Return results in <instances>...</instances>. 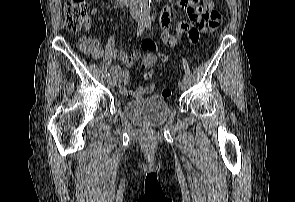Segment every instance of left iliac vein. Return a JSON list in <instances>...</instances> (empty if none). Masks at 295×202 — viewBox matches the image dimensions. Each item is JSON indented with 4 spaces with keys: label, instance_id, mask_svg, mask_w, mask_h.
<instances>
[{
    "label": "left iliac vein",
    "instance_id": "4c4485c4",
    "mask_svg": "<svg viewBox=\"0 0 295 202\" xmlns=\"http://www.w3.org/2000/svg\"><path fill=\"white\" fill-rule=\"evenodd\" d=\"M186 87H187V82H186V81H181V82L179 83V88H180L181 90H185Z\"/></svg>",
    "mask_w": 295,
    "mask_h": 202
}]
</instances>
